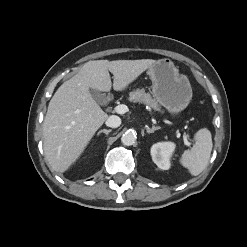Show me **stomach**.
Instances as JSON below:
<instances>
[{
	"label": "stomach",
	"instance_id": "stomach-1",
	"mask_svg": "<svg viewBox=\"0 0 247 247\" xmlns=\"http://www.w3.org/2000/svg\"><path fill=\"white\" fill-rule=\"evenodd\" d=\"M155 100L170 114L183 111L192 99V87L186 75L169 59H159L148 68Z\"/></svg>",
	"mask_w": 247,
	"mask_h": 247
}]
</instances>
